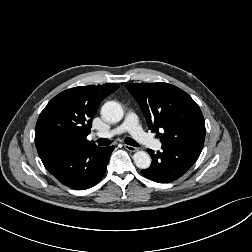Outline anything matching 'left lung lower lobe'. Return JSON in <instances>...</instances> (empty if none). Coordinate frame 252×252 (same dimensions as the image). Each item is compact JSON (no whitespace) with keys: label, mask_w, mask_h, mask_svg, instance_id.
<instances>
[{"label":"left lung lower lobe","mask_w":252,"mask_h":252,"mask_svg":"<svg viewBox=\"0 0 252 252\" xmlns=\"http://www.w3.org/2000/svg\"><path fill=\"white\" fill-rule=\"evenodd\" d=\"M163 151L148 149L152 164L142 174L158 183H169L180 178L196 162L200 151L186 147L162 146Z\"/></svg>","instance_id":"0a47b994"}]
</instances>
